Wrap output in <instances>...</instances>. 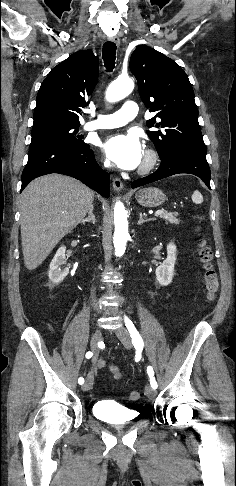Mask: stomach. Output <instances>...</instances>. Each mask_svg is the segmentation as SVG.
<instances>
[{"label": "stomach", "instance_id": "1", "mask_svg": "<svg viewBox=\"0 0 236 486\" xmlns=\"http://www.w3.org/2000/svg\"><path fill=\"white\" fill-rule=\"evenodd\" d=\"M135 198L140 205L150 208L158 207L166 200L165 194L160 189L155 187L140 189L135 194Z\"/></svg>", "mask_w": 236, "mask_h": 486}]
</instances>
